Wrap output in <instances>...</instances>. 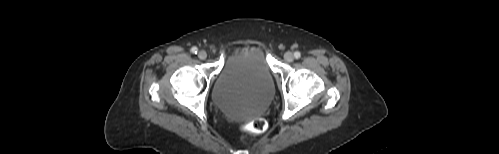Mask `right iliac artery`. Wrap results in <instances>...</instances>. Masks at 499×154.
<instances>
[{
	"label": "right iliac artery",
	"instance_id": "obj_1",
	"mask_svg": "<svg viewBox=\"0 0 499 154\" xmlns=\"http://www.w3.org/2000/svg\"><path fill=\"white\" fill-rule=\"evenodd\" d=\"M191 52L194 54H197V52H198L197 47H192Z\"/></svg>",
	"mask_w": 499,
	"mask_h": 154
}]
</instances>
